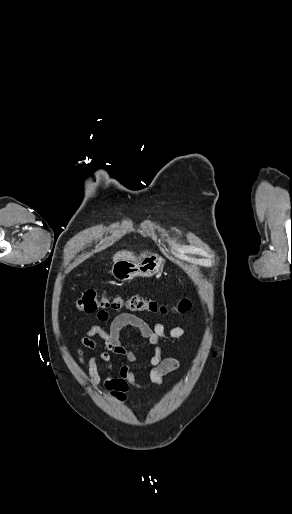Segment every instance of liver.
<instances>
[{"label":"liver","mask_w":292,"mask_h":514,"mask_svg":"<svg viewBox=\"0 0 292 514\" xmlns=\"http://www.w3.org/2000/svg\"><path fill=\"white\" fill-rule=\"evenodd\" d=\"M143 256H146V254H142L141 258H143ZM118 260H131V262H135L136 258L133 256L132 252H125V250H123V252H116V254H114L113 262H118Z\"/></svg>","instance_id":"obj_1"}]
</instances>
